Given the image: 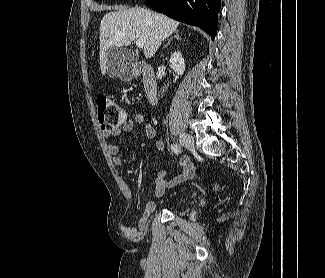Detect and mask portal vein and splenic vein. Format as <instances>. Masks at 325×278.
Listing matches in <instances>:
<instances>
[{"label":"portal vein and splenic vein","instance_id":"portal-vein-and-splenic-vein-1","mask_svg":"<svg viewBox=\"0 0 325 278\" xmlns=\"http://www.w3.org/2000/svg\"><path fill=\"white\" fill-rule=\"evenodd\" d=\"M136 45H137V47L142 48L144 46V40L136 39Z\"/></svg>","mask_w":325,"mask_h":278}]
</instances>
